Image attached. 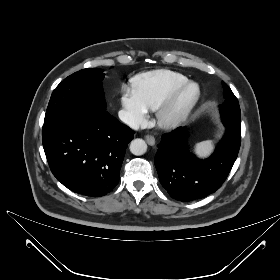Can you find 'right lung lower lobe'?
<instances>
[{
  "mask_svg": "<svg viewBox=\"0 0 280 280\" xmlns=\"http://www.w3.org/2000/svg\"><path fill=\"white\" fill-rule=\"evenodd\" d=\"M134 132L107 111H63L44 119L42 143L53 175L71 191L111 192Z\"/></svg>",
  "mask_w": 280,
  "mask_h": 280,
  "instance_id": "1",
  "label": "right lung lower lobe"
}]
</instances>
